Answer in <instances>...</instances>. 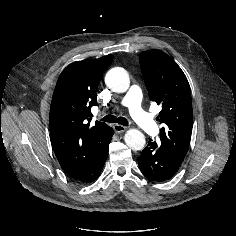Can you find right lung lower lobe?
<instances>
[{"mask_svg":"<svg viewBox=\"0 0 236 236\" xmlns=\"http://www.w3.org/2000/svg\"><path fill=\"white\" fill-rule=\"evenodd\" d=\"M112 136L113 129L110 127L103 150L95 157L93 162L87 167V169L82 174L74 178L76 181L80 183H90L93 182L99 176L108 156V147L112 140Z\"/></svg>","mask_w":236,"mask_h":236,"instance_id":"right-lung-lower-lobe-1","label":"right lung lower lobe"}]
</instances>
